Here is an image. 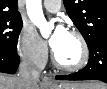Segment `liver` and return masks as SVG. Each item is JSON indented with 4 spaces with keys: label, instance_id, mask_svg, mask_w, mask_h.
<instances>
[{
    "label": "liver",
    "instance_id": "1",
    "mask_svg": "<svg viewBox=\"0 0 107 89\" xmlns=\"http://www.w3.org/2000/svg\"><path fill=\"white\" fill-rule=\"evenodd\" d=\"M80 85L81 89H106V85L99 82H91L85 84H76ZM22 83L18 79V76H9L6 74L0 75V89H21ZM28 89H40L38 82L32 83Z\"/></svg>",
    "mask_w": 107,
    "mask_h": 89
}]
</instances>
